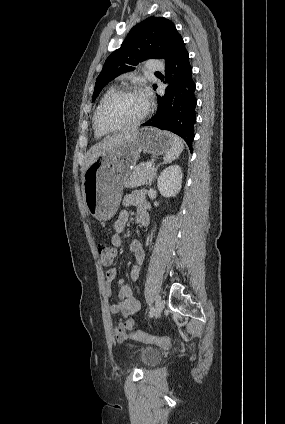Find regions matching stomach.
Returning <instances> with one entry per match:
<instances>
[{
    "mask_svg": "<svg viewBox=\"0 0 285 424\" xmlns=\"http://www.w3.org/2000/svg\"><path fill=\"white\" fill-rule=\"evenodd\" d=\"M169 132L141 128L122 145L100 155L85 171L82 192L88 212L97 220H110L117 212L123 188L129 181L140 156L167 154L173 145Z\"/></svg>",
    "mask_w": 285,
    "mask_h": 424,
    "instance_id": "0dacf381",
    "label": "stomach"
}]
</instances>
